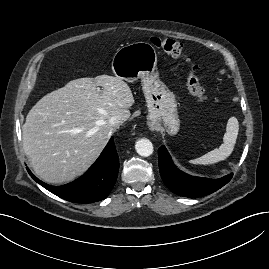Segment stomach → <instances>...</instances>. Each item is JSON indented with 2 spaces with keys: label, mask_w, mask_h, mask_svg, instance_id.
I'll use <instances>...</instances> for the list:
<instances>
[{
  "label": "stomach",
  "mask_w": 269,
  "mask_h": 269,
  "mask_svg": "<svg viewBox=\"0 0 269 269\" xmlns=\"http://www.w3.org/2000/svg\"><path fill=\"white\" fill-rule=\"evenodd\" d=\"M116 77L127 82L141 79L148 107L149 124L175 135L180 128V119L174 94L159 79L157 53L148 42H135L117 50L112 59Z\"/></svg>",
  "instance_id": "stomach-1"
}]
</instances>
